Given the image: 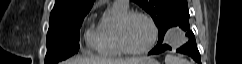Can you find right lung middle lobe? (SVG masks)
Segmentation results:
<instances>
[{"instance_id":"dd1d6c3e","label":"right lung middle lobe","mask_w":242,"mask_h":64,"mask_svg":"<svg viewBox=\"0 0 242 64\" xmlns=\"http://www.w3.org/2000/svg\"><path fill=\"white\" fill-rule=\"evenodd\" d=\"M87 13L50 19L45 64H56L78 52L80 27Z\"/></svg>"}]
</instances>
